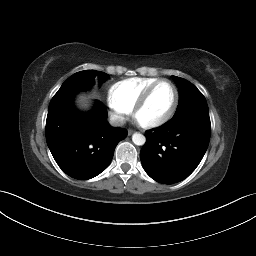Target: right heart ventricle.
Wrapping results in <instances>:
<instances>
[{
    "label": "right heart ventricle",
    "instance_id": "right-heart-ventricle-1",
    "mask_svg": "<svg viewBox=\"0 0 256 256\" xmlns=\"http://www.w3.org/2000/svg\"><path fill=\"white\" fill-rule=\"evenodd\" d=\"M158 78H130L113 84L108 92L110 103L132 110L136 101Z\"/></svg>",
    "mask_w": 256,
    "mask_h": 256
}]
</instances>
